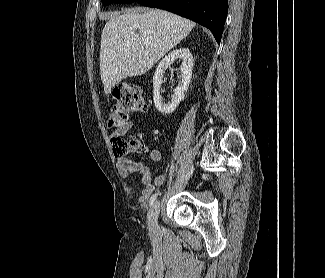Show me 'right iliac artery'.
<instances>
[{"label": "right iliac artery", "mask_w": 325, "mask_h": 278, "mask_svg": "<svg viewBox=\"0 0 325 278\" xmlns=\"http://www.w3.org/2000/svg\"><path fill=\"white\" fill-rule=\"evenodd\" d=\"M193 170H194V168L192 166L191 169L188 171L187 175L185 176V179H188L192 175ZM157 195H158V193H155V194H153L151 196V198L149 200V206H152L153 205L154 201L156 200Z\"/></svg>", "instance_id": "right-iliac-artery-1"}]
</instances>
